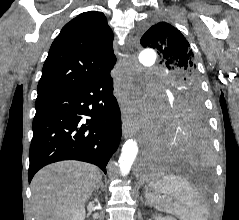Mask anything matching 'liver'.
I'll list each match as a JSON object with an SVG mask.
<instances>
[{
    "instance_id": "obj_1",
    "label": "liver",
    "mask_w": 239,
    "mask_h": 220,
    "mask_svg": "<svg viewBox=\"0 0 239 220\" xmlns=\"http://www.w3.org/2000/svg\"><path fill=\"white\" fill-rule=\"evenodd\" d=\"M101 178L96 166L79 161H61L44 167L32 180L35 220H72Z\"/></svg>"
}]
</instances>
